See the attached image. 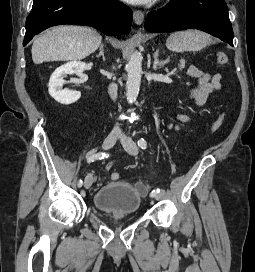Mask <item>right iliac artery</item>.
Here are the masks:
<instances>
[{"label": "right iliac artery", "instance_id": "right-iliac-artery-1", "mask_svg": "<svg viewBox=\"0 0 255 272\" xmlns=\"http://www.w3.org/2000/svg\"><path fill=\"white\" fill-rule=\"evenodd\" d=\"M109 156V154L105 153V152H98L96 154H90L87 158V162L90 163V162H94L95 160H101V159H104V158H107ZM83 184V181L82 180H79L78 181V187H81Z\"/></svg>", "mask_w": 255, "mask_h": 272}]
</instances>
